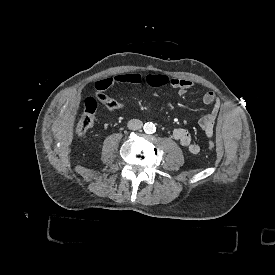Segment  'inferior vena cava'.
<instances>
[{
    "mask_svg": "<svg viewBox=\"0 0 275 275\" xmlns=\"http://www.w3.org/2000/svg\"><path fill=\"white\" fill-rule=\"evenodd\" d=\"M143 126V122L139 119H131L127 123V127L130 130H138L141 129Z\"/></svg>",
    "mask_w": 275,
    "mask_h": 275,
    "instance_id": "1",
    "label": "inferior vena cava"
}]
</instances>
